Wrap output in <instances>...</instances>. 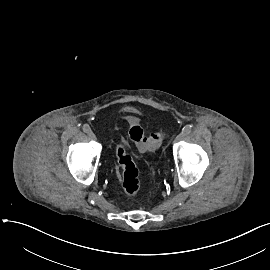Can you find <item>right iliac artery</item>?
<instances>
[{
	"label": "right iliac artery",
	"mask_w": 270,
	"mask_h": 270,
	"mask_svg": "<svg viewBox=\"0 0 270 270\" xmlns=\"http://www.w3.org/2000/svg\"><path fill=\"white\" fill-rule=\"evenodd\" d=\"M82 129H83V131H84L85 133H89V132H90V127H89L88 124H84L83 127H82Z\"/></svg>",
	"instance_id": "right-iliac-artery-1"
}]
</instances>
